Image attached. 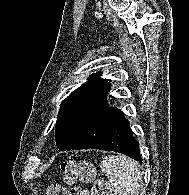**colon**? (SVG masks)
Wrapping results in <instances>:
<instances>
[{"label":"colon","instance_id":"5ec220e1","mask_svg":"<svg viewBox=\"0 0 189 195\" xmlns=\"http://www.w3.org/2000/svg\"><path fill=\"white\" fill-rule=\"evenodd\" d=\"M65 185L55 183L47 191V195H78L75 188L66 185L75 183H91V195H109L106 179L100 172H93L86 160L64 161L60 165Z\"/></svg>","mask_w":189,"mask_h":195}]
</instances>
